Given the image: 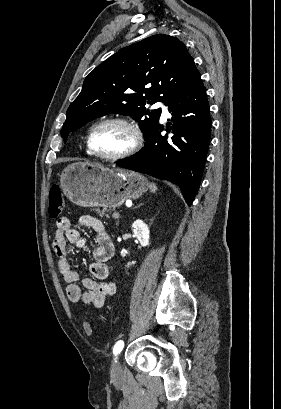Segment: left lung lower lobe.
<instances>
[{"mask_svg": "<svg viewBox=\"0 0 281 409\" xmlns=\"http://www.w3.org/2000/svg\"><path fill=\"white\" fill-rule=\"evenodd\" d=\"M172 124L161 135L159 124L147 137L146 147L117 166L143 172L179 185L190 206L199 188L211 137L209 103L197 71L190 84L168 105ZM172 125V127H169Z\"/></svg>", "mask_w": 281, "mask_h": 409, "instance_id": "left-lung-lower-lobe-1", "label": "left lung lower lobe"}]
</instances>
